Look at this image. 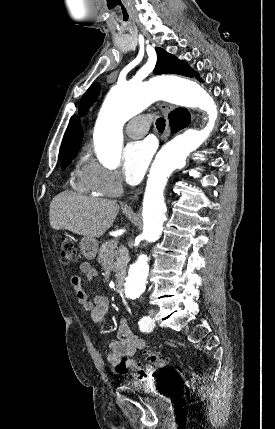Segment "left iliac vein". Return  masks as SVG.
Instances as JSON below:
<instances>
[{
  "mask_svg": "<svg viewBox=\"0 0 275 429\" xmlns=\"http://www.w3.org/2000/svg\"><path fill=\"white\" fill-rule=\"evenodd\" d=\"M157 311L155 309H150L149 310V317L154 321L155 317H156Z\"/></svg>",
  "mask_w": 275,
  "mask_h": 429,
  "instance_id": "1",
  "label": "left iliac vein"
}]
</instances>
